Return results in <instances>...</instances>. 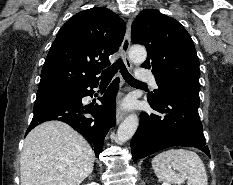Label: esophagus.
Wrapping results in <instances>:
<instances>
[{
    "mask_svg": "<svg viewBox=\"0 0 233 185\" xmlns=\"http://www.w3.org/2000/svg\"><path fill=\"white\" fill-rule=\"evenodd\" d=\"M131 24H132V21L129 20L127 23L126 34H125V37L122 43V49H121L124 64L128 69L132 68L131 61L128 57V51H129L130 43H131ZM125 116L126 114L121 109H118L116 113L117 124H119L125 118Z\"/></svg>",
    "mask_w": 233,
    "mask_h": 185,
    "instance_id": "esophagus-1",
    "label": "esophagus"
}]
</instances>
